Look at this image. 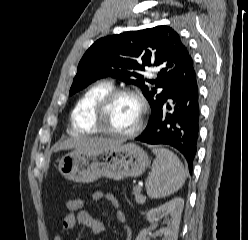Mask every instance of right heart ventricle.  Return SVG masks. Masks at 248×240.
Instances as JSON below:
<instances>
[{"mask_svg":"<svg viewBox=\"0 0 248 240\" xmlns=\"http://www.w3.org/2000/svg\"><path fill=\"white\" fill-rule=\"evenodd\" d=\"M113 88L109 81H100L89 87L78 99L71 115V131L75 134L96 133L92 116L99 99Z\"/></svg>","mask_w":248,"mask_h":240,"instance_id":"obj_1","label":"right heart ventricle"}]
</instances>
